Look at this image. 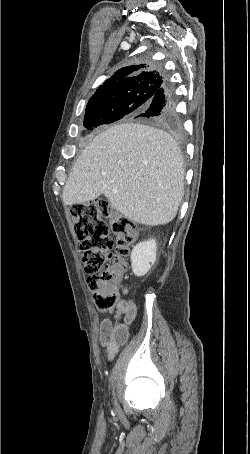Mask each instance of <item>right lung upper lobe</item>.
Returning <instances> with one entry per match:
<instances>
[{
    "instance_id": "right-lung-upper-lobe-1",
    "label": "right lung upper lobe",
    "mask_w": 250,
    "mask_h": 454,
    "mask_svg": "<svg viewBox=\"0 0 250 454\" xmlns=\"http://www.w3.org/2000/svg\"><path fill=\"white\" fill-rule=\"evenodd\" d=\"M165 83L166 79L161 71L152 68L149 64L123 67L99 86L88 103H93L103 98H120L123 94H127L141 85L152 84L161 89Z\"/></svg>"
}]
</instances>
